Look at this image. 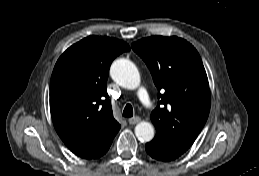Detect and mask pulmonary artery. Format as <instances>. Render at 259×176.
Masks as SVG:
<instances>
[{"instance_id":"obj_1","label":"pulmonary artery","mask_w":259,"mask_h":176,"mask_svg":"<svg viewBox=\"0 0 259 176\" xmlns=\"http://www.w3.org/2000/svg\"><path fill=\"white\" fill-rule=\"evenodd\" d=\"M138 97H139V100L141 101V103L144 106H148L150 104V98H149L148 93L145 89L141 88L138 91Z\"/></svg>"}]
</instances>
